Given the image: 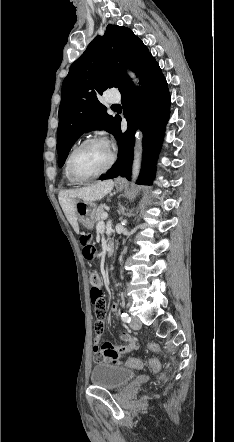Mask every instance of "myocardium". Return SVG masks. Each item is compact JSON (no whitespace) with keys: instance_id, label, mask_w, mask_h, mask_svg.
<instances>
[{"instance_id":"f54148a6","label":"myocardium","mask_w":234,"mask_h":442,"mask_svg":"<svg viewBox=\"0 0 234 442\" xmlns=\"http://www.w3.org/2000/svg\"><path fill=\"white\" fill-rule=\"evenodd\" d=\"M93 143H104L109 147V149H110L109 162L99 172H97L91 176H88V177H79L74 173V171L72 169V159L77 151H79L81 148H83L89 144H93ZM115 162H116V153H115L114 149L111 147L110 143L107 141V139H105L104 137L95 136V137H90V138L83 140L82 142H80L78 145H76L72 149V151L70 152V154L67 158L66 167H67L68 174L72 180H74L77 183H85V182H89L91 180H94V179L102 176L103 174L107 173L113 167Z\"/></svg>"}]
</instances>
